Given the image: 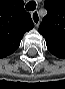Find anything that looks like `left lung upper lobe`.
<instances>
[{
  "instance_id": "1",
  "label": "left lung upper lobe",
  "mask_w": 65,
  "mask_h": 89,
  "mask_svg": "<svg viewBox=\"0 0 65 89\" xmlns=\"http://www.w3.org/2000/svg\"><path fill=\"white\" fill-rule=\"evenodd\" d=\"M48 13L43 18L39 32L46 42L65 45V0H45Z\"/></svg>"
}]
</instances>
